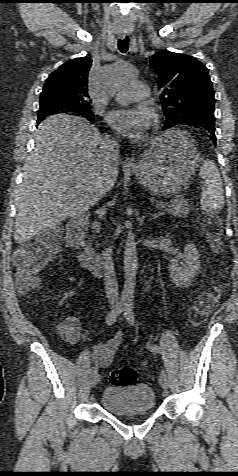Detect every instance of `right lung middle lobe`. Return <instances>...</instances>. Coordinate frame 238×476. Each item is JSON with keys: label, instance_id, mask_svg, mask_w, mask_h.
I'll return each instance as SVG.
<instances>
[{"label": "right lung middle lobe", "instance_id": "right-lung-middle-lobe-1", "mask_svg": "<svg viewBox=\"0 0 238 476\" xmlns=\"http://www.w3.org/2000/svg\"><path fill=\"white\" fill-rule=\"evenodd\" d=\"M57 113H69L73 115L83 116L89 121H93L94 119V114L91 112L90 106L69 109L55 102L44 101L40 102L38 122L47 116Z\"/></svg>", "mask_w": 238, "mask_h": 476}]
</instances>
